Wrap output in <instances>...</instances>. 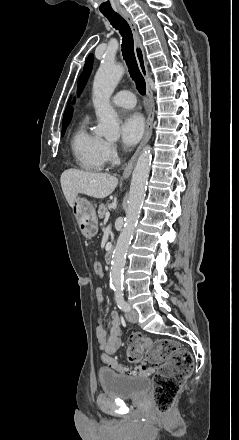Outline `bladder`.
I'll list each match as a JSON object with an SVG mask.
<instances>
[{
    "mask_svg": "<svg viewBox=\"0 0 239 440\" xmlns=\"http://www.w3.org/2000/svg\"><path fill=\"white\" fill-rule=\"evenodd\" d=\"M98 381L104 393L124 399L140 398L150 388L148 377L123 375L108 369L99 370Z\"/></svg>",
    "mask_w": 239,
    "mask_h": 440,
    "instance_id": "bladder-1",
    "label": "bladder"
}]
</instances>
